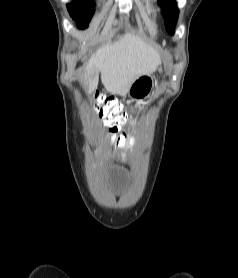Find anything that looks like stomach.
Wrapping results in <instances>:
<instances>
[{
  "instance_id": "obj_1",
  "label": "stomach",
  "mask_w": 238,
  "mask_h": 278,
  "mask_svg": "<svg viewBox=\"0 0 238 278\" xmlns=\"http://www.w3.org/2000/svg\"><path fill=\"white\" fill-rule=\"evenodd\" d=\"M153 87V76L151 74H144L133 81L127 94L132 99L142 100L150 95Z\"/></svg>"
}]
</instances>
